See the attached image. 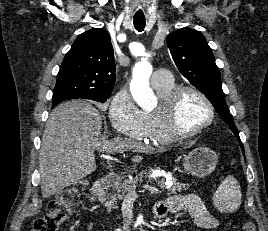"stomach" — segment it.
<instances>
[{"label":"stomach","instance_id":"stomach-1","mask_svg":"<svg viewBox=\"0 0 268 231\" xmlns=\"http://www.w3.org/2000/svg\"><path fill=\"white\" fill-rule=\"evenodd\" d=\"M217 163V154L206 147L195 148L183 158L185 172L199 178L211 174Z\"/></svg>","mask_w":268,"mask_h":231}]
</instances>
